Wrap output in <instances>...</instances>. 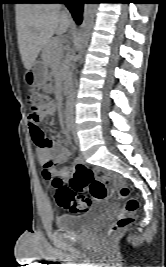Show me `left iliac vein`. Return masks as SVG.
Segmentation results:
<instances>
[{"instance_id":"left-iliac-vein-1","label":"left iliac vein","mask_w":166,"mask_h":267,"mask_svg":"<svg viewBox=\"0 0 166 267\" xmlns=\"http://www.w3.org/2000/svg\"><path fill=\"white\" fill-rule=\"evenodd\" d=\"M72 133H73L75 142L78 143V137H77V134H76V126H75L73 120H72Z\"/></svg>"}]
</instances>
